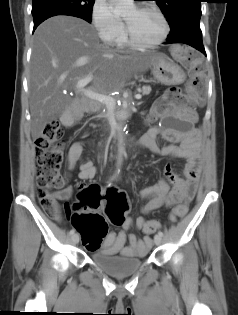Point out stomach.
<instances>
[{
    "mask_svg": "<svg viewBox=\"0 0 238 315\" xmlns=\"http://www.w3.org/2000/svg\"><path fill=\"white\" fill-rule=\"evenodd\" d=\"M151 70L154 78L165 85L178 84L183 79H189V72H181L180 68L164 54L152 65ZM181 116H195V109H181Z\"/></svg>",
    "mask_w": 238,
    "mask_h": 315,
    "instance_id": "0dacf381",
    "label": "stomach"
}]
</instances>
